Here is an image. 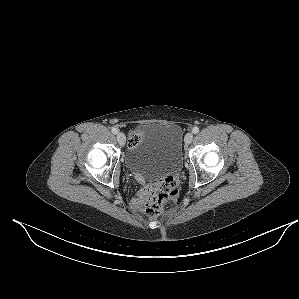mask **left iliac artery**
Listing matches in <instances>:
<instances>
[{"label": "left iliac artery", "mask_w": 299, "mask_h": 299, "mask_svg": "<svg viewBox=\"0 0 299 299\" xmlns=\"http://www.w3.org/2000/svg\"><path fill=\"white\" fill-rule=\"evenodd\" d=\"M192 132L197 134L199 132V128L197 126L193 127Z\"/></svg>", "instance_id": "1"}]
</instances>
